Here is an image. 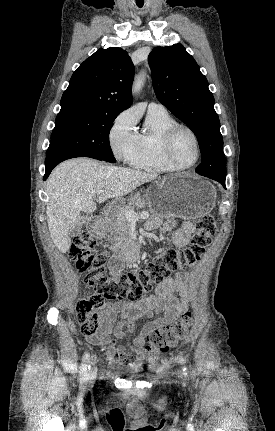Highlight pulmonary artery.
Wrapping results in <instances>:
<instances>
[{"label": "pulmonary artery", "mask_w": 275, "mask_h": 431, "mask_svg": "<svg viewBox=\"0 0 275 431\" xmlns=\"http://www.w3.org/2000/svg\"><path fill=\"white\" fill-rule=\"evenodd\" d=\"M148 110H165V107L160 103L151 102L148 106Z\"/></svg>", "instance_id": "1"}]
</instances>
